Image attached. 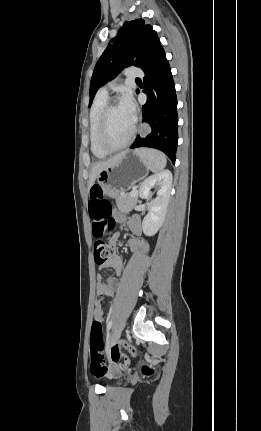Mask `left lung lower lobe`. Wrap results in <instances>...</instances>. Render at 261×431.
I'll return each instance as SVG.
<instances>
[{
  "instance_id": "1",
  "label": "left lung lower lobe",
  "mask_w": 261,
  "mask_h": 431,
  "mask_svg": "<svg viewBox=\"0 0 261 431\" xmlns=\"http://www.w3.org/2000/svg\"><path fill=\"white\" fill-rule=\"evenodd\" d=\"M143 71V92L147 95V102L142 106V122L148 125V134L138 135L130 148L158 149L175 164L178 142L177 98L163 47L153 55Z\"/></svg>"
}]
</instances>
